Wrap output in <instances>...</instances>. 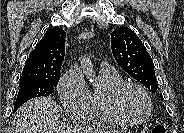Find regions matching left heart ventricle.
Instances as JSON below:
<instances>
[{
  "label": "left heart ventricle",
  "instance_id": "1",
  "mask_svg": "<svg viewBox=\"0 0 184 133\" xmlns=\"http://www.w3.org/2000/svg\"><path fill=\"white\" fill-rule=\"evenodd\" d=\"M119 105L121 112L130 119H140L147 111L145 98L134 88H129L122 93Z\"/></svg>",
  "mask_w": 184,
  "mask_h": 133
}]
</instances>
